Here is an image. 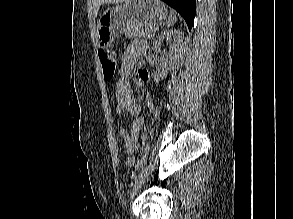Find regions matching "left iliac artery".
I'll return each mask as SVG.
<instances>
[{"label":"left iliac artery","instance_id":"44dca946","mask_svg":"<svg viewBox=\"0 0 293 219\" xmlns=\"http://www.w3.org/2000/svg\"><path fill=\"white\" fill-rule=\"evenodd\" d=\"M150 150V146L147 144L146 147H145V153H144V156L142 157L139 165H138V169L141 170L143 169L145 163H146V160H147V155H148V152Z\"/></svg>","mask_w":293,"mask_h":219}]
</instances>
